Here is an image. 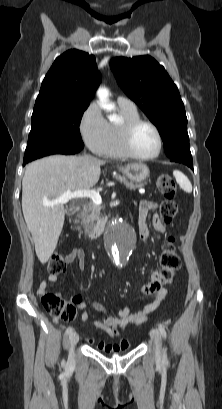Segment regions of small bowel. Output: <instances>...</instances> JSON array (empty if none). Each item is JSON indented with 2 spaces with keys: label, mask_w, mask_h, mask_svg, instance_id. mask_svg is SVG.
<instances>
[{
  "label": "small bowel",
  "mask_w": 222,
  "mask_h": 409,
  "mask_svg": "<svg viewBox=\"0 0 222 409\" xmlns=\"http://www.w3.org/2000/svg\"><path fill=\"white\" fill-rule=\"evenodd\" d=\"M156 208L157 204L151 200H142L140 202L138 213V229L140 237L145 243L148 241L149 237L146 218L148 213L155 210ZM151 224L157 232L164 233L166 230L163 221L157 214L153 215ZM75 260H78L80 269L84 270L85 253L81 248L73 249L65 257L66 264H71ZM57 279V275L50 274L40 284L38 288V294L46 292L48 287L51 284L55 283ZM165 284L166 279L164 277V274L160 269H156L152 276V280L149 282H145L144 286L140 289L142 292H144V295L146 297H153V299L142 309L134 313H132L128 307H124L117 311L115 314H110L103 306L93 304L92 307L105 313V317L94 321L92 326L104 330L112 338H119L121 336V331H125L129 325H140L148 320L149 314L158 308V306L168 293V289L163 286ZM77 307L83 310V313L81 315V322H85L89 315L88 306L84 303H79ZM54 321L57 322L58 318H54ZM87 342L89 344H94L95 340L92 338H88ZM129 347V342L124 339L115 344H107L102 341L97 343V348L106 354L126 351L127 349H129Z\"/></svg>",
  "instance_id": "1"
}]
</instances>
